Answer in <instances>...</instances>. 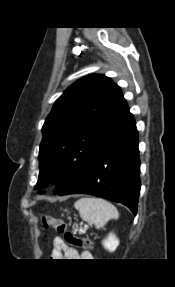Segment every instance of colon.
I'll return each instance as SVG.
<instances>
[{"mask_svg":"<svg viewBox=\"0 0 175 287\" xmlns=\"http://www.w3.org/2000/svg\"><path fill=\"white\" fill-rule=\"evenodd\" d=\"M41 221L44 229H54L61 235L65 244L82 249L93 248V242L91 240L77 236L64 220L42 214Z\"/></svg>","mask_w":175,"mask_h":287,"instance_id":"colon-1","label":"colon"}]
</instances>
